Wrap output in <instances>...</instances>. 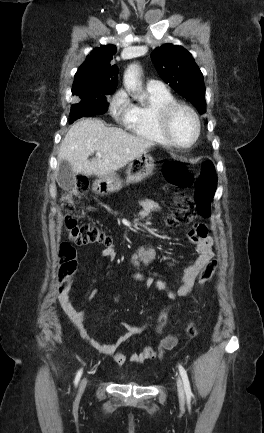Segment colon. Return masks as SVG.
<instances>
[{
	"label": "colon",
	"instance_id": "colon-1",
	"mask_svg": "<svg viewBox=\"0 0 264 433\" xmlns=\"http://www.w3.org/2000/svg\"><path fill=\"white\" fill-rule=\"evenodd\" d=\"M163 173L165 179L173 186L187 188L194 186L191 196H180L177 200V208L167 216L166 222L169 226H179L192 223L198 217H208L211 214V203L216 186V174L213 163L204 160L195 171L186 165L177 162L164 164ZM89 185L85 179H80L70 188L62 198V206L68 212L64 221V228L69 237V242L60 246L59 252V281L62 290L71 279L77 269V251L72 246L90 244L113 245L112 239L100 228L90 224H79L72 215L75 203L86 194ZM218 266L216 259H211L201 270L198 277V285L207 282L215 273ZM170 306L165 307L157 320L156 334L161 337L167 324ZM198 330L190 323L186 328V335L195 337ZM164 353V352H163ZM161 353L160 357L163 356Z\"/></svg>",
	"mask_w": 264,
	"mask_h": 433
}]
</instances>
